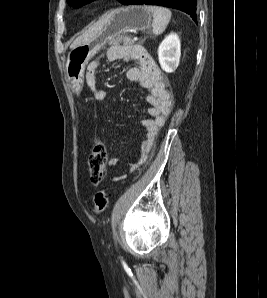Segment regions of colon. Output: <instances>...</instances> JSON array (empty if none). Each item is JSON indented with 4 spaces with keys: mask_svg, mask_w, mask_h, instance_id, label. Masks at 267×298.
<instances>
[{
    "mask_svg": "<svg viewBox=\"0 0 267 298\" xmlns=\"http://www.w3.org/2000/svg\"><path fill=\"white\" fill-rule=\"evenodd\" d=\"M108 155L104 145L94 139L89 155V174L93 184L98 185L104 179L108 168ZM109 191L106 189L98 191L93 200V210L96 214H101L108 206Z\"/></svg>",
    "mask_w": 267,
    "mask_h": 298,
    "instance_id": "5ec220e1",
    "label": "colon"
}]
</instances>
